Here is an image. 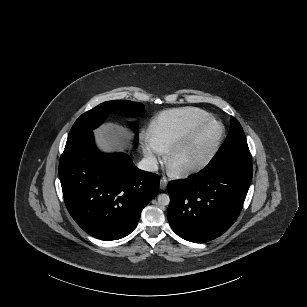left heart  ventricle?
<instances>
[{
  "label": "left heart ventricle",
  "mask_w": 307,
  "mask_h": 307,
  "mask_svg": "<svg viewBox=\"0 0 307 307\" xmlns=\"http://www.w3.org/2000/svg\"><path fill=\"white\" fill-rule=\"evenodd\" d=\"M222 134V124L216 123L211 126L192 148L180 156V158L176 161L175 166L182 167L200 160L214 146Z\"/></svg>",
  "instance_id": "left-heart-ventricle-1"
}]
</instances>
